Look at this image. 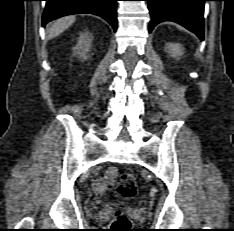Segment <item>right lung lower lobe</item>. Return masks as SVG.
Returning a JSON list of instances; mask_svg holds the SVG:
<instances>
[{"instance_id": "98d812e1", "label": "right lung lower lobe", "mask_w": 234, "mask_h": 231, "mask_svg": "<svg viewBox=\"0 0 234 231\" xmlns=\"http://www.w3.org/2000/svg\"><path fill=\"white\" fill-rule=\"evenodd\" d=\"M42 25L56 18L77 14L90 13L104 18L117 29L116 1L117 0H45Z\"/></svg>"}]
</instances>
